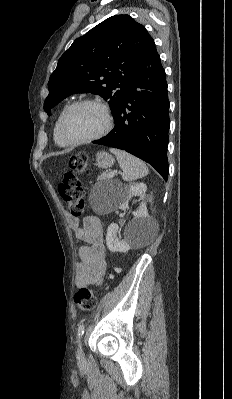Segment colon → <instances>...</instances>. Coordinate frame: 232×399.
Masks as SVG:
<instances>
[{
    "mask_svg": "<svg viewBox=\"0 0 232 399\" xmlns=\"http://www.w3.org/2000/svg\"><path fill=\"white\" fill-rule=\"evenodd\" d=\"M72 172H86V168H91V160H86V153L81 155H74V160L71 163ZM62 185L59 186L61 194H69V196L82 197V186L75 180L78 179L77 175H64ZM67 204V211L74 214V218H79V214L85 211L84 203L85 198H65ZM77 294L81 296H74V301H81L76 303V308H80L81 312H92L97 314L98 296H101V290L97 288L91 289H77Z\"/></svg>",
    "mask_w": 232,
    "mask_h": 399,
    "instance_id": "5ec220e1",
    "label": "colon"
}]
</instances>
